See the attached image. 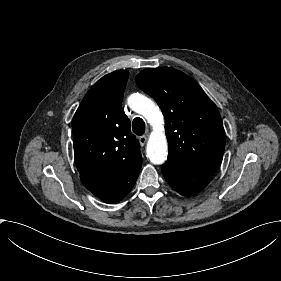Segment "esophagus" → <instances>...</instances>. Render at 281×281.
Wrapping results in <instances>:
<instances>
[{
  "label": "esophagus",
  "mask_w": 281,
  "mask_h": 281,
  "mask_svg": "<svg viewBox=\"0 0 281 281\" xmlns=\"http://www.w3.org/2000/svg\"><path fill=\"white\" fill-rule=\"evenodd\" d=\"M139 141H140V144L142 146H144L146 144V142H147V136L146 135L140 136Z\"/></svg>",
  "instance_id": "34e87169"
}]
</instances>
